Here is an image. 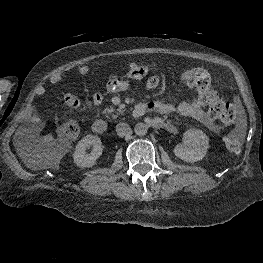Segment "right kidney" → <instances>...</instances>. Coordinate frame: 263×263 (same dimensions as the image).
Returning a JSON list of instances; mask_svg holds the SVG:
<instances>
[{
	"label": "right kidney",
	"instance_id": "ca27d5eb",
	"mask_svg": "<svg viewBox=\"0 0 263 263\" xmlns=\"http://www.w3.org/2000/svg\"><path fill=\"white\" fill-rule=\"evenodd\" d=\"M93 146L90 154H86V148ZM102 154L100 138L94 135L83 137L77 144L73 154L74 163L81 168H89L96 164V160Z\"/></svg>",
	"mask_w": 263,
	"mask_h": 263
}]
</instances>
